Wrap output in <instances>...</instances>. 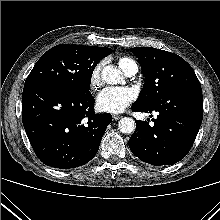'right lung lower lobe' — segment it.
Masks as SVG:
<instances>
[{
    "label": "right lung lower lobe",
    "instance_id": "98d812e1",
    "mask_svg": "<svg viewBox=\"0 0 220 220\" xmlns=\"http://www.w3.org/2000/svg\"><path fill=\"white\" fill-rule=\"evenodd\" d=\"M90 92L49 85L23 89L22 119L37 157L46 165L69 169L89 162L112 121L95 114Z\"/></svg>",
    "mask_w": 220,
    "mask_h": 220
}]
</instances>
